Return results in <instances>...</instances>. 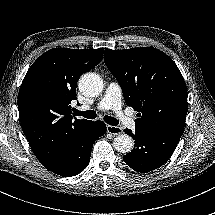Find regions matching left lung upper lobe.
I'll list each match as a JSON object with an SVG mask.
<instances>
[{
  "instance_id": "obj_1",
  "label": "left lung upper lobe",
  "mask_w": 215,
  "mask_h": 215,
  "mask_svg": "<svg viewBox=\"0 0 215 215\" xmlns=\"http://www.w3.org/2000/svg\"><path fill=\"white\" fill-rule=\"evenodd\" d=\"M104 61L120 83L127 106L139 112L136 129L183 133L187 87L169 56L152 47L105 49Z\"/></svg>"
}]
</instances>
